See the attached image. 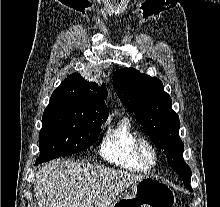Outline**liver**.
<instances>
[{
	"label": "liver",
	"instance_id": "liver-1",
	"mask_svg": "<svg viewBox=\"0 0 220 207\" xmlns=\"http://www.w3.org/2000/svg\"><path fill=\"white\" fill-rule=\"evenodd\" d=\"M142 178L119 169L56 159L36 172L34 192L39 207H110Z\"/></svg>",
	"mask_w": 220,
	"mask_h": 207
}]
</instances>
